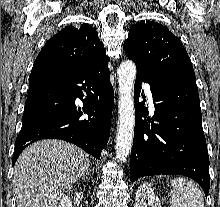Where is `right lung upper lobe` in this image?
Wrapping results in <instances>:
<instances>
[{"label":"right lung upper lobe","instance_id":"right-lung-upper-lobe-1","mask_svg":"<svg viewBox=\"0 0 220 207\" xmlns=\"http://www.w3.org/2000/svg\"><path fill=\"white\" fill-rule=\"evenodd\" d=\"M106 58V50L96 30L88 24L67 26L50 38L38 54L32 71L81 70Z\"/></svg>","mask_w":220,"mask_h":207}]
</instances>
